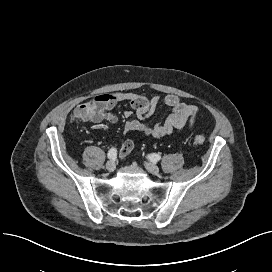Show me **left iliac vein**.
Returning a JSON list of instances; mask_svg holds the SVG:
<instances>
[{"instance_id":"1","label":"left iliac vein","mask_w":272,"mask_h":272,"mask_svg":"<svg viewBox=\"0 0 272 272\" xmlns=\"http://www.w3.org/2000/svg\"><path fill=\"white\" fill-rule=\"evenodd\" d=\"M145 168L152 174L157 175L159 174V167L151 162L145 163Z\"/></svg>"}]
</instances>
